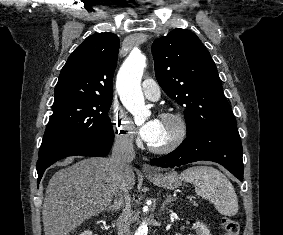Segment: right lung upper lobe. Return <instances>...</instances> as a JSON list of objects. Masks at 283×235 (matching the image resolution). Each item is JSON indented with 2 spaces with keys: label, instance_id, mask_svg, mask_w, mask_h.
Wrapping results in <instances>:
<instances>
[{
  "label": "right lung upper lobe",
  "instance_id": "1",
  "mask_svg": "<svg viewBox=\"0 0 283 235\" xmlns=\"http://www.w3.org/2000/svg\"><path fill=\"white\" fill-rule=\"evenodd\" d=\"M119 38L105 32L91 35L69 56L54 90V103L72 97H113L112 79Z\"/></svg>",
  "mask_w": 283,
  "mask_h": 235
}]
</instances>
